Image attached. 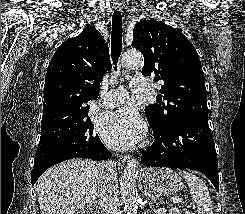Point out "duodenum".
I'll list each match as a JSON object with an SVG mask.
<instances>
[{
  "instance_id": "obj_1",
  "label": "duodenum",
  "mask_w": 245,
  "mask_h": 214,
  "mask_svg": "<svg viewBox=\"0 0 245 214\" xmlns=\"http://www.w3.org/2000/svg\"><path fill=\"white\" fill-rule=\"evenodd\" d=\"M87 214H101V210L97 206H91L89 207Z\"/></svg>"
}]
</instances>
